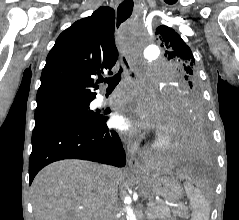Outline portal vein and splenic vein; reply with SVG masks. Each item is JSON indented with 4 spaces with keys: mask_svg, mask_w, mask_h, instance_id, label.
I'll list each match as a JSON object with an SVG mask.
<instances>
[{
    "mask_svg": "<svg viewBox=\"0 0 239 220\" xmlns=\"http://www.w3.org/2000/svg\"><path fill=\"white\" fill-rule=\"evenodd\" d=\"M150 205H152V202L147 203V206H150Z\"/></svg>",
    "mask_w": 239,
    "mask_h": 220,
    "instance_id": "portal-vein-and-splenic-vein-1",
    "label": "portal vein and splenic vein"
}]
</instances>
